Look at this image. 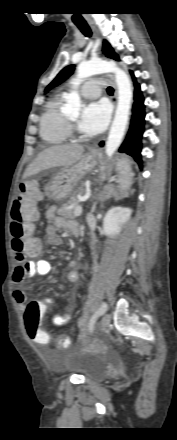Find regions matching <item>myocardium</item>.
Wrapping results in <instances>:
<instances>
[{
	"label": "myocardium",
	"mask_w": 177,
	"mask_h": 440,
	"mask_svg": "<svg viewBox=\"0 0 177 440\" xmlns=\"http://www.w3.org/2000/svg\"><path fill=\"white\" fill-rule=\"evenodd\" d=\"M67 121H68L69 126L74 128V121H72L71 119H68V118H67Z\"/></svg>",
	"instance_id": "f54148a6"
}]
</instances>
